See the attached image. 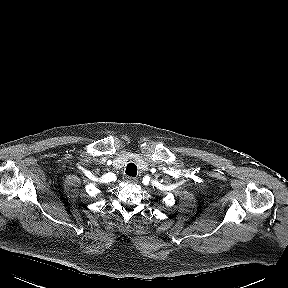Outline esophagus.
Segmentation results:
<instances>
[{
	"label": "esophagus",
	"mask_w": 288,
	"mask_h": 288,
	"mask_svg": "<svg viewBox=\"0 0 288 288\" xmlns=\"http://www.w3.org/2000/svg\"><path fill=\"white\" fill-rule=\"evenodd\" d=\"M126 181L129 183H136L138 181V179L136 177L127 176Z\"/></svg>",
	"instance_id": "1"
}]
</instances>
